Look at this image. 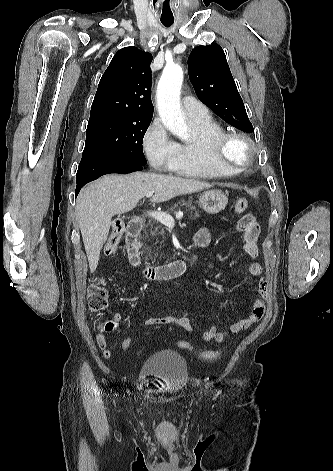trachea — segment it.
<instances>
[{
    "label": "trachea",
    "instance_id": "3493384b",
    "mask_svg": "<svg viewBox=\"0 0 333 471\" xmlns=\"http://www.w3.org/2000/svg\"><path fill=\"white\" fill-rule=\"evenodd\" d=\"M174 20H161L162 24L165 26V27H170L172 25Z\"/></svg>",
    "mask_w": 333,
    "mask_h": 471
}]
</instances>
